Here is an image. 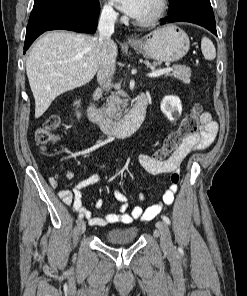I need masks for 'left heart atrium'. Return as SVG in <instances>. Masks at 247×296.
<instances>
[{"label": "left heart atrium", "instance_id": "39dd6f15", "mask_svg": "<svg viewBox=\"0 0 247 296\" xmlns=\"http://www.w3.org/2000/svg\"><path fill=\"white\" fill-rule=\"evenodd\" d=\"M121 11L132 18H138L145 10L148 0H115Z\"/></svg>", "mask_w": 247, "mask_h": 296}]
</instances>
